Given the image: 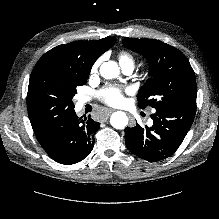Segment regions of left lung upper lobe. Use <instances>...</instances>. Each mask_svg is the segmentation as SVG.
<instances>
[{
    "label": "left lung upper lobe",
    "mask_w": 219,
    "mask_h": 219,
    "mask_svg": "<svg viewBox=\"0 0 219 219\" xmlns=\"http://www.w3.org/2000/svg\"><path fill=\"white\" fill-rule=\"evenodd\" d=\"M123 44L145 56L150 65V78L137 95L140 108H171L196 102L195 73L182 52L154 39L124 38Z\"/></svg>",
    "instance_id": "1"
}]
</instances>
